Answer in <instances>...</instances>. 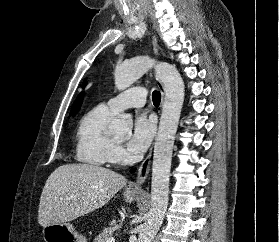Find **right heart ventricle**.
<instances>
[{"label":"right heart ventricle","mask_w":279,"mask_h":242,"mask_svg":"<svg viewBox=\"0 0 279 242\" xmlns=\"http://www.w3.org/2000/svg\"><path fill=\"white\" fill-rule=\"evenodd\" d=\"M115 112L100 104L80 120L76 132V155L83 163L104 166L112 162L117 145L108 133Z\"/></svg>","instance_id":"1"}]
</instances>
